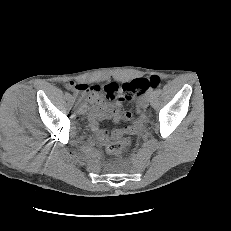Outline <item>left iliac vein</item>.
<instances>
[{"label":"left iliac vein","mask_w":231,"mask_h":231,"mask_svg":"<svg viewBox=\"0 0 231 231\" xmlns=\"http://www.w3.org/2000/svg\"><path fill=\"white\" fill-rule=\"evenodd\" d=\"M149 105V97L146 95L141 99V106L146 108Z\"/></svg>","instance_id":"obj_1"}]
</instances>
